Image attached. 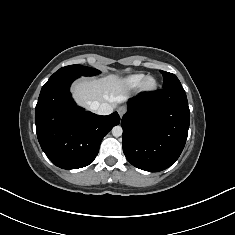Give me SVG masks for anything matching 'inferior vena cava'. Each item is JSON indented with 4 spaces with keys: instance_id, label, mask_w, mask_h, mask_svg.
<instances>
[{
    "instance_id": "1",
    "label": "inferior vena cava",
    "mask_w": 235,
    "mask_h": 235,
    "mask_svg": "<svg viewBox=\"0 0 235 235\" xmlns=\"http://www.w3.org/2000/svg\"><path fill=\"white\" fill-rule=\"evenodd\" d=\"M90 109L99 115H109L113 112V107L108 103L98 104L97 102H93L90 105Z\"/></svg>"
}]
</instances>
